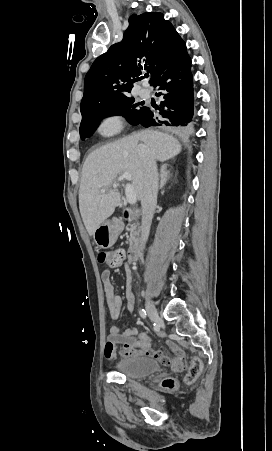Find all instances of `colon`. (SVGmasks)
Returning <instances> with one entry per match:
<instances>
[{
	"label": "colon",
	"instance_id": "1",
	"mask_svg": "<svg viewBox=\"0 0 272 451\" xmlns=\"http://www.w3.org/2000/svg\"><path fill=\"white\" fill-rule=\"evenodd\" d=\"M124 258V250L116 249L113 251H105L103 253L95 254L96 262H103L111 266V268H120L121 262ZM172 350H176L177 346H172ZM159 360L164 367H175L177 370H187V382H191L195 374L202 373L203 359L191 358L190 362H185L182 353H178L175 358H170L168 355L161 353ZM162 385L165 389H171L174 386V381L171 378L163 380Z\"/></svg>",
	"mask_w": 272,
	"mask_h": 451
}]
</instances>
